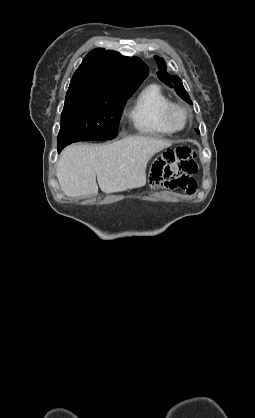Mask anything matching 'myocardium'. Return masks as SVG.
I'll return each mask as SVG.
<instances>
[{
	"label": "myocardium",
	"mask_w": 255,
	"mask_h": 418,
	"mask_svg": "<svg viewBox=\"0 0 255 418\" xmlns=\"http://www.w3.org/2000/svg\"><path fill=\"white\" fill-rule=\"evenodd\" d=\"M176 110H181L185 115V122H184L183 126H181V127H177L173 123V114ZM164 119H165L166 124L174 132H177V131L183 130L188 125V123L190 121V113H189L188 108L184 104L177 103V102H171L165 110Z\"/></svg>",
	"instance_id": "myocardium-1"
}]
</instances>
